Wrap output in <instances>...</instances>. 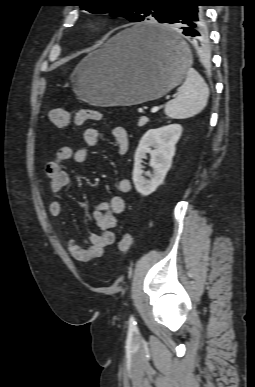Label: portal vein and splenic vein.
<instances>
[{"label":"portal vein and splenic vein","mask_w":255,"mask_h":387,"mask_svg":"<svg viewBox=\"0 0 255 387\" xmlns=\"http://www.w3.org/2000/svg\"><path fill=\"white\" fill-rule=\"evenodd\" d=\"M159 110L158 106H154L151 108V113H156ZM142 122V118L140 119V123Z\"/></svg>","instance_id":"obj_1"}]
</instances>
